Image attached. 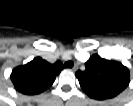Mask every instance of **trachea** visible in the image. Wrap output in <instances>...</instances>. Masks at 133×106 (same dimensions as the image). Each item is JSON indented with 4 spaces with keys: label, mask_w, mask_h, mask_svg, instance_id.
Wrapping results in <instances>:
<instances>
[{
    "label": "trachea",
    "mask_w": 133,
    "mask_h": 106,
    "mask_svg": "<svg viewBox=\"0 0 133 106\" xmlns=\"http://www.w3.org/2000/svg\"><path fill=\"white\" fill-rule=\"evenodd\" d=\"M64 67H66V68H72L73 67V62L72 61L65 62Z\"/></svg>",
    "instance_id": "trachea-1"
}]
</instances>
